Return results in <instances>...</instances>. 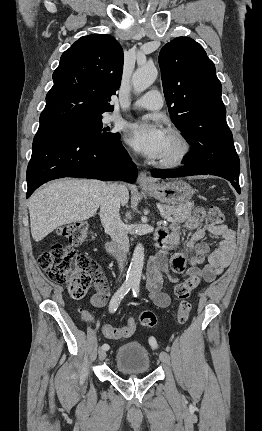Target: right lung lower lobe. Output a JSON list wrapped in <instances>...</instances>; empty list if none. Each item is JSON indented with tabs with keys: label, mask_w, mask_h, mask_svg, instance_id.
<instances>
[{
	"label": "right lung lower lobe",
	"mask_w": 262,
	"mask_h": 431,
	"mask_svg": "<svg viewBox=\"0 0 262 431\" xmlns=\"http://www.w3.org/2000/svg\"><path fill=\"white\" fill-rule=\"evenodd\" d=\"M27 167L28 198L40 185L57 178H96L134 183L136 166L120 142L87 138L68 129L40 126Z\"/></svg>",
	"instance_id": "obj_1"
}]
</instances>
